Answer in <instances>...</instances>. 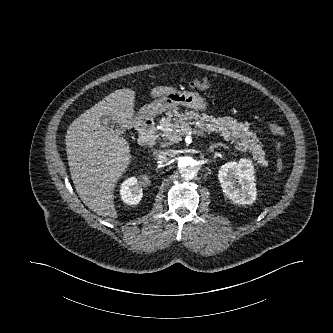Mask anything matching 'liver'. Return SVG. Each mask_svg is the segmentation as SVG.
<instances>
[{
	"label": "liver",
	"instance_id": "liver-1",
	"mask_svg": "<svg viewBox=\"0 0 333 333\" xmlns=\"http://www.w3.org/2000/svg\"><path fill=\"white\" fill-rule=\"evenodd\" d=\"M175 90L158 86L151 97L159 98ZM135 91H114L74 120L67 131V154L76 192L83 203L102 216L117 217L114 187L131 161L128 141L107 127L103 117L131 129L140 124L134 117Z\"/></svg>",
	"mask_w": 333,
	"mask_h": 333
}]
</instances>
